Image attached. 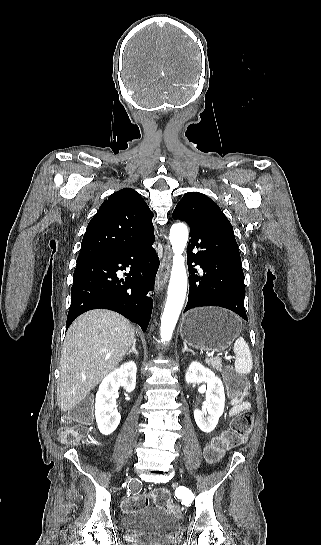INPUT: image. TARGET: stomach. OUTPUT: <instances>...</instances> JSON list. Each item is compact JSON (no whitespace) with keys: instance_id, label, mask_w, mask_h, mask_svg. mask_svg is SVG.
<instances>
[{"instance_id":"obj_1","label":"stomach","mask_w":321,"mask_h":545,"mask_svg":"<svg viewBox=\"0 0 321 545\" xmlns=\"http://www.w3.org/2000/svg\"><path fill=\"white\" fill-rule=\"evenodd\" d=\"M241 331L239 317L220 307L191 309L185 313L180 327L184 343L213 353L228 349Z\"/></svg>"}]
</instances>
